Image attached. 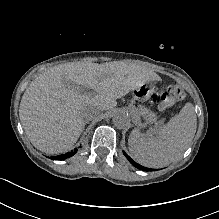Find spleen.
Wrapping results in <instances>:
<instances>
[{"instance_id":"spleen-1","label":"spleen","mask_w":219,"mask_h":219,"mask_svg":"<svg viewBox=\"0 0 219 219\" xmlns=\"http://www.w3.org/2000/svg\"><path fill=\"white\" fill-rule=\"evenodd\" d=\"M197 117L192 103H186L179 114L164 125L157 136L144 137L132 130L128 146L132 158L146 167L161 168L175 161L194 138Z\"/></svg>"}]
</instances>
